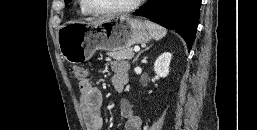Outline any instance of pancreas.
Masks as SVG:
<instances>
[{
    "label": "pancreas",
    "instance_id": "pancreas-1",
    "mask_svg": "<svg viewBox=\"0 0 257 130\" xmlns=\"http://www.w3.org/2000/svg\"><path fill=\"white\" fill-rule=\"evenodd\" d=\"M108 56L114 60H131L134 57V52L132 48L128 47L111 51Z\"/></svg>",
    "mask_w": 257,
    "mask_h": 130
}]
</instances>
